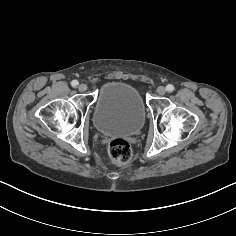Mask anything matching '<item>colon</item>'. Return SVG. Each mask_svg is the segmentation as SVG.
Segmentation results:
<instances>
[{
	"instance_id": "colon-1",
	"label": "colon",
	"mask_w": 236,
	"mask_h": 236,
	"mask_svg": "<svg viewBox=\"0 0 236 236\" xmlns=\"http://www.w3.org/2000/svg\"><path fill=\"white\" fill-rule=\"evenodd\" d=\"M108 155L111 162L117 165H123L131 160L132 150L126 140L116 138L109 143Z\"/></svg>"
}]
</instances>
